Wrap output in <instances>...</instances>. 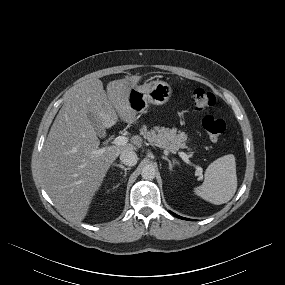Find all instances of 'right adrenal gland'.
Returning <instances> with one entry per match:
<instances>
[{"label":"right adrenal gland","instance_id":"1","mask_svg":"<svg viewBox=\"0 0 285 285\" xmlns=\"http://www.w3.org/2000/svg\"><path fill=\"white\" fill-rule=\"evenodd\" d=\"M114 165H115L116 167H119V168H121L122 170H124V176H126L127 171L131 169L130 167H125V166H123L122 164H114Z\"/></svg>","mask_w":285,"mask_h":285}]
</instances>
